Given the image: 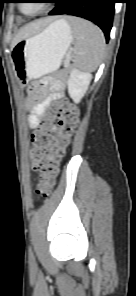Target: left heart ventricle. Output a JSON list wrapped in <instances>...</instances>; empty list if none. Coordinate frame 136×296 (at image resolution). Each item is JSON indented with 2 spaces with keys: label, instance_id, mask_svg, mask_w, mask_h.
<instances>
[{
  "label": "left heart ventricle",
  "instance_id": "left-heart-ventricle-1",
  "mask_svg": "<svg viewBox=\"0 0 136 296\" xmlns=\"http://www.w3.org/2000/svg\"><path fill=\"white\" fill-rule=\"evenodd\" d=\"M43 3H35V2H29V3H23V9L26 13H33L40 9Z\"/></svg>",
  "mask_w": 136,
  "mask_h": 296
}]
</instances>
